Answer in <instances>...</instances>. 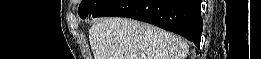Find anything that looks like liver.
<instances>
[{
  "label": "liver",
  "mask_w": 261,
  "mask_h": 59,
  "mask_svg": "<svg viewBox=\"0 0 261 59\" xmlns=\"http://www.w3.org/2000/svg\"><path fill=\"white\" fill-rule=\"evenodd\" d=\"M94 59H185V40L128 18H101L89 30Z\"/></svg>",
  "instance_id": "6515ba94"
}]
</instances>
